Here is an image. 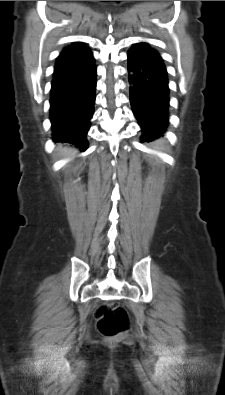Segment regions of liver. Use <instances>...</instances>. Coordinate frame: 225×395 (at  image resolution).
I'll return each mask as SVG.
<instances>
[{"instance_id":"1","label":"liver","mask_w":225,"mask_h":395,"mask_svg":"<svg viewBox=\"0 0 225 395\" xmlns=\"http://www.w3.org/2000/svg\"><path fill=\"white\" fill-rule=\"evenodd\" d=\"M59 151H60L64 156H69V157L74 156V154H75V152H76L73 148H70V147H67V146H65V147L59 146Z\"/></svg>"}]
</instances>
